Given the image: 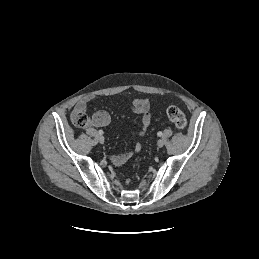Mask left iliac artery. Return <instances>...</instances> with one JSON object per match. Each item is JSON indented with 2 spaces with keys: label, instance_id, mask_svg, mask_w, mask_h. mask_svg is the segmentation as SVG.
Returning <instances> with one entry per match:
<instances>
[{
  "label": "left iliac artery",
  "instance_id": "obj_1",
  "mask_svg": "<svg viewBox=\"0 0 259 259\" xmlns=\"http://www.w3.org/2000/svg\"><path fill=\"white\" fill-rule=\"evenodd\" d=\"M157 135H158L159 137H161V136H162V132L159 131V132L157 133Z\"/></svg>",
  "mask_w": 259,
  "mask_h": 259
}]
</instances>
